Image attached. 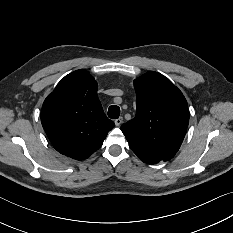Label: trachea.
<instances>
[{"instance_id": "3493384b", "label": "trachea", "mask_w": 233, "mask_h": 233, "mask_svg": "<svg viewBox=\"0 0 233 233\" xmlns=\"http://www.w3.org/2000/svg\"><path fill=\"white\" fill-rule=\"evenodd\" d=\"M120 116V108L117 105H111L108 109V117L111 119H118Z\"/></svg>"}]
</instances>
